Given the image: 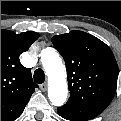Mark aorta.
<instances>
[{
    "label": "aorta",
    "instance_id": "obj_1",
    "mask_svg": "<svg viewBox=\"0 0 121 121\" xmlns=\"http://www.w3.org/2000/svg\"><path fill=\"white\" fill-rule=\"evenodd\" d=\"M40 57L48 76V97L53 105L62 106L66 101L68 88L65 67L61 58L53 48L43 49Z\"/></svg>",
    "mask_w": 121,
    "mask_h": 121
}]
</instances>
